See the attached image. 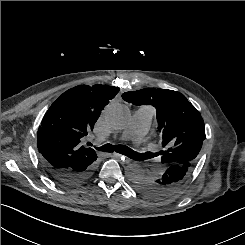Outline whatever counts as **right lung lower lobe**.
Instances as JSON below:
<instances>
[{"label":"right lung lower lobe","instance_id":"right-lung-lower-lobe-1","mask_svg":"<svg viewBox=\"0 0 245 245\" xmlns=\"http://www.w3.org/2000/svg\"><path fill=\"white\" fill-rule=\"evenodd\" d=\"M46 172L58 183L65 186H75L87 181L95 171V163L81 170H62L56 169L42 162Z\"/></svg>","mask_w":245,"mask_h":245}]
</instances>
